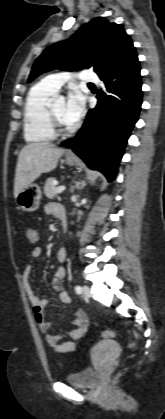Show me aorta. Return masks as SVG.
Segmentation results:
<instances>
[{
    "instance_id": "obj_1",
    "label": "aorta",
    "mask_w": 165,
    "mask_h": 419,
    "mask_svg": "<svg viewBox=\"0 0 165 419\" xmlns=\"http://www.w3.org/2000/svg\"><path fill=\"white\" fill-rule=\"evenodd\" d=\"M56 101L59 102V103H63L64 102V97L63 96H57Z\"/></svg>"
}]
</instances>
